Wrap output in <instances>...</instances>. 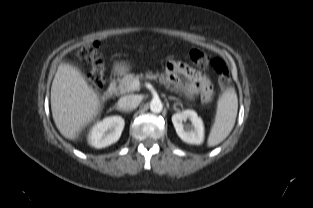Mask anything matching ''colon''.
I'll return each mask as SVG.
<instances>
[{
    "label": "colon",
    "instance_id": "obj_1",
    "mask_svg": "<svg viewBox=\"0 0 313 208\" xmlns=\"http://www.w3.org/2000/svg\"><path fill=\"white\" fill-rule=\"evenodd\" d=\"M99 47H100L99 43L94 42L91 45H87L81 48L78 54L80 58L88 60L93 64V70L89 78L95 86L102 87L104 83V78L101 61L99 57ZM190 58L194 63L200 66L206 65L208 63L207 56L197 49H192L190 51ZM211 64L213 69L217 73L218 83L221 86L226 85L230 80L229 70L226 64L220 59H213Z\"/></svg>",
    "mask_w": 313,
    "mask_h": 208
}]
</instances>
